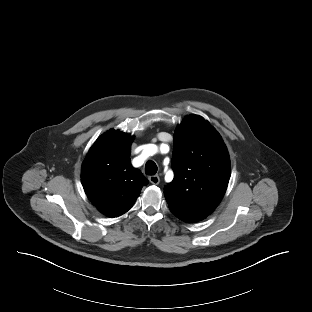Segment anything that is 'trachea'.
I'll list each match as a JSON object with an SVG mask.
<instances>
[{
    "label": "trachea",
    "instance_id": "obj_1",
    "mask_svg": "<svg viewBox=\"0 0 312 312\" xmlns=\"http://www.w3.org/2000/svg\"><path fill=\"white\" fill-rule=\"evenodd\" d=\"M157 172V165L153 161H148L145 165V173L147 175H155Z\"/></svg>",
    "mask_w": 312,
    "mask_h": 312
}]
</instances>
